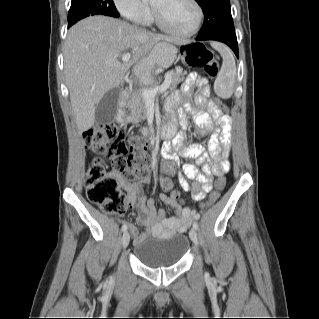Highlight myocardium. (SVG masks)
Masks as SVG:
<instances>
[{
    "label": "myocardium",
    "instance_id": "myocardium-1",
    "mask_svg": "<svg viewBox=\"0 0 319 319\" xmlns=\"http://www.w3.org/2000/svg\"><path fill=\"white\" fill-rule=\"evenodd\" d=\"M188 1L193 5V7L196 10V20H195V23L190 30L185 31V32H180V31H177V30L169 27L165 23V21L163 20L160 12L155 7H152L153 15H154V18H155V21H156L158 27L161 28L162 30H164L165 32L175 36V37L188 38V37L193 36L198 31V29L202 23L203 9L197 0H188Z\"/></svg>",
    "mask_w": 319,
    "mask_h": 319
}]
</instances>
